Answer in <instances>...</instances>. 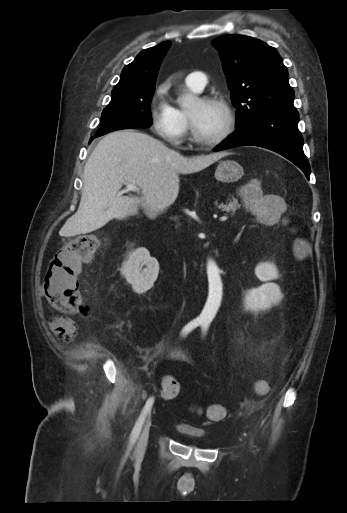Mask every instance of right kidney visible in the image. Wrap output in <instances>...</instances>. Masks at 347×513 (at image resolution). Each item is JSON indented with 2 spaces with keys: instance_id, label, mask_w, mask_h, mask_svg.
<instances>
[{
  "instance_id": "1",
  "label": "right kidney",
  "mask_w": 347,
  "mask_h": 513,
  "mask_svg": "<svg viewBox=\"0 0 347 513\" xmlns=\"http://www.w3.org/2000/svg\"><path fill=\"white\" fill-rule=\"evenodd\" d=\"M143 266L146 267L143 269ZM121 274L132 285L133 290L141 294L153 287L159 274V264L147 249L138 248L123 262Z\"/></svg>"
}]
</instances>
